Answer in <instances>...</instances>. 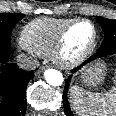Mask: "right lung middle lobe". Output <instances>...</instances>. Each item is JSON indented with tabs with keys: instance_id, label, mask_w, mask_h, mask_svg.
<instances>
[{
	"instance_id": "dd1d6c3e",
	"label": "right lung middle lobe",
	"mask_w": 116,
	"mask_h": 116,
	"mask_svg": "<svg viewBox=\"0 0 116 116\" xmlns=\"http://www.w3.org/2000/svg\"><path fill=\"white\" fill-rule=\"evenodd\" d=\"M22 18L24 14L0 13V56L10 50L12 29Z\"/></svg>"
}]
</instances>
